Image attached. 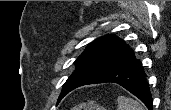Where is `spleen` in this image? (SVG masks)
<instances>
[{"label": "spleen", "instance_id": "3e777b00", "mask_svg": "<svg viewBox=\"0 0 171 110\" xmlns=\"http://www.w3.org/2000/svg\"><path fill=\"white\" fill-rule=\"evenodd\" d=\"M117 102L118 110H144L140 102L126 96H119Z\"/></svg>", "mask_w": 171, "mask_h": 110}]
</instances>
